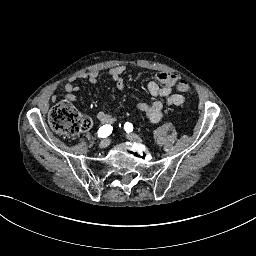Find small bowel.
I'll use <instances>...</instances> for the list:
<instances>
[{
	"label": "small bowel",
	"instance_id": "c3829d8e",
	"mask_svg": "<svg viewBox=\"0 0 256 256\" xmlns=\"http://www.w3.org/2000/svg\"><path fill=\"white\" fill-rule=\"evenodd\" d=\"M125 73L124 66H116L109 71V75L116 83L118 89L123 90L125 88L123 75ZM99 71L94 70L87 74L81 75V79H86L91 84H96L99 79ZM183 82H179L178 76L169 72H158L155 77V81H150L147 85L149 93L156 98H162L165 104L168 106H180L184 103L185 97L182 94L174 93V87L180 92H185L181 85ZM79 90V87L74 81H69L65 85V100L73 102L76 100L75 92ZM52 101H57V97L53 96ZM137 111L144 115L151 123L159 122L163 117V103L159 100L152 103H141L137 106ZM97 120L102 124H113L115 117L111 114L100 111L96 114Z\"/></svg>",
	"mask_w": 256,
	"mask_h": 256
}]
</instances>
